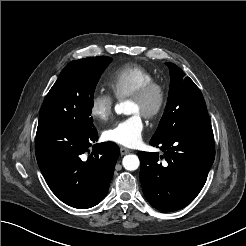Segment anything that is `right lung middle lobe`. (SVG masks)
<instances>
[{
	"label": "right lung middle lobe",
	"instance_id": "1",
	"mask_svg": "<svg viewBox=\"0 0 246 246\" xmlns=\"http://www.w3.org/2000/svg\"><path fill=\"white\" fill-rule=\"evenodd\" d=\"M111 61L110 57L98 56L68 63L43 102L38 126L94 129L90 116L94 91Z\"/></svg>",
	"mask_w": 246,
	"mask_h": 246
}]
</instances>
